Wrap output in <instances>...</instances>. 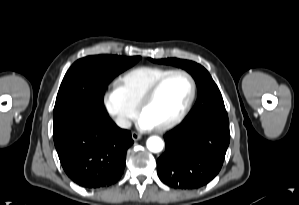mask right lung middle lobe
<instances>
[{
  "instance_id": "1",
  "label": "right lung middle lobe",
  "mask_w": 299,
  "mask_h": 205,
  "mask_svg": "<svg viewBox=\"0 0 299 205\" xmlns=\"http://www.w3.org/2000/svg\"><path fill=\"white\" fill-rule=\"evenodd\" d=\"M140 56H88L77 60L65 74L54 107V126L81 110L106 113L104 93L110 81L133 66Z\"/></svg>"
}]
</instances>
